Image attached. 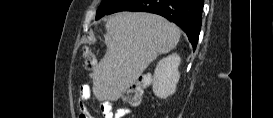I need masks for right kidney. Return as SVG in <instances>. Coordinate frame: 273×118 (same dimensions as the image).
Returning <instances> with one entry per match:
<instances>
[{
	"instance_id": "1",
	"label": "right kidney",
	"mask_w": 273,
	"mask_h": 118,
	"mask_svg": "<svg viewBox=\"0 0 273 118\" xmlns=\"http://www.w3.org/2000/svg\"><path fill=\"white\" fill-rule=\"evenodd\" d=\"M180 63L181 58L177 54L169 55L158 62L153 76V92L157 97L167 98L175 93L180 78Z\"/></svg>"
}]
</instances>
